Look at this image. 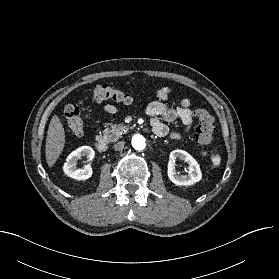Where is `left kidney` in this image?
<instances>
[{
    "mask_svg": "<svg viewBox=\"0 0 279 279\" xmlns=\"http://www.w3.org/2000/svg\"><path fill=\"white\" fill-rule=\"evenodd\" d=\"M176 159L185 161L189 165V171L187 175H179L176 173L174 166ZM167 174L170 181L177 186L193 185L196 182H199L202 178L200 166L197 161L189 153L179 149L173 150L170 153Z\"/></svg>",
    "mask_w": 279,
    "mask_h": 279,
    "instance_id": "1",
    "label": "left kidney"
}]
</instances>
